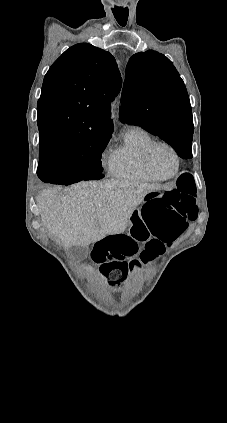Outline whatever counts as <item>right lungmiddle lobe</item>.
Returning <instances> with one entry per match:
<instances>
[{"label":"right lung middle lobe","mask_w":227,"mask_h":423,"mask_svg":"<svg viewBox=\"0 0 227 423\" xmlns=\"http://www.w3.org/2000/svg\"><path fill=\"white\" fill-rule=\"evenodd\" d=\"M111 135H83L40 144V161H50L69 169V174L80 180L104 177L101 153Z\"/></svg>","instance_id":"obj_1"}]
</instances>
